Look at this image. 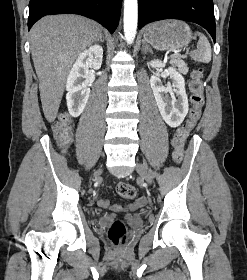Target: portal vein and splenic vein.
<instances>
[{
    "instance_id": "portal-vein-and-splenic-vein-1",
    "label": "portal vein and splenic vein",
    "mask_w": 247,
    "mask_h": 280,
    "mask_svg": "<svg viewBox=\"0 0 247 280\" xmlns=\"http://www.w3.org/2000/svg\"><path fill=\"white\" fill-rule=\"evenodd\" d=\"M177 57H178V53H174V54L170 55V58H171V59H175V58H177Z\"/></svg>"
}]
</instances>
